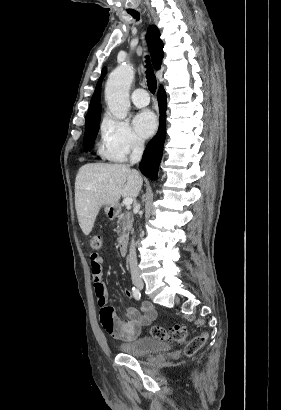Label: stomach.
Here are the masks:
<instances>
[{"label":"stomach","mask_w":281,"mask_h":410,"mask_svg":"<svg viewBox=\"0 0 281 410\" xmlns=\"http://www.w3.org/2000/svg\"><path fill=\"white\" fill-rule=\"evenodd\" d=\"M104 210H105V212H106V214H107V215L112 216V215H114V214H115V207H114V206H111V205H105Z\"/></svg>","instance_id":"stomach-1"}]
</instances>
